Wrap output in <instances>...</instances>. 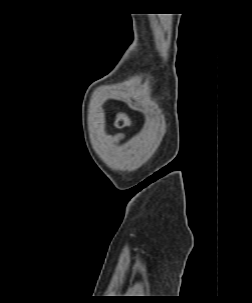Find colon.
Wrapping results in <instances>:
<instances>
[{
    "instance_id": "obj_1",
    "label": "colon",
    "mask_w": 252,
    "mask_h": 303,
    "mask_svg": "<svg viewBox=\"0 0 252 303\" xmlns=\"http://www.w3.org/2000/svg\"><path fill=\"white\" fill-rule=\"evenodd\" d=\"M116 125L119 127H126L128 125V119L123 116H119L116 119Z\"/></svg>"
}]
</instances>
